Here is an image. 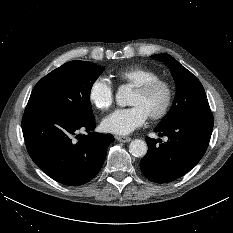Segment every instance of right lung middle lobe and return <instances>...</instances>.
Segmentation results:
<instances>
[{
	"label": "right lung middle lobe",
	"instance_id": "1",
	"mask_svg": "<svg viewBox=\"0 0 233 233\" xmlns=\"http://www.w3.org/2000/svg\"><path fill=\"white\" fill-rule=\"evenodd\" d=\"M91 62L70 61L53 70L35 85L27 106L68 113L83 121L94 120L90 103L93 83L103 72Z\"/></svg>",
	"mask_w": 233,
	"mask_h": 233
}]
</instances>
